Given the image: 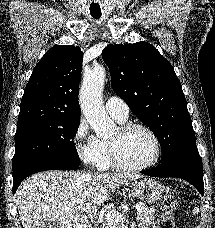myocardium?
<instances>
[{
	"label": "myocardium",
	"mask_w": 215,
	"mask_h": 228,
	"mask_svg": "<svg viewBox=\"0 0 215 228\" xmlns=\"http://www.w3.org/2000/svg\"><path fill=\"white\" fill-rule=\"evenodd\" d=\"M134 128H140L149 135V137L152 140L154 150H153L152 156L146 162H144L140 165L130 166V165L123 163L120 160L118 152H117L116 144L114 141L110 140L109 141V152H110L111 163L113 164L114 167H116L120 170H123V171H127V172H138V171H142V170L150 167L151 165H153L154 163H156L158 161L160 154H161V145H160L159 138H158L157 134L155 133V131L150 126H148L142 122H126V123H123L119 127V131L121 133H125Z\"/></svg>",
	"instance_id": "1"
}]
</instances>
